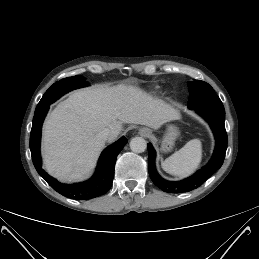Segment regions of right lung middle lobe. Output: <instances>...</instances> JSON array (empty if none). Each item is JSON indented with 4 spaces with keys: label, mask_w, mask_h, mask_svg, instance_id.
Listing matches in <instances>:
<instances>
[{
    "label": "right lung middle lobe",
    "mask_w": 259,
    "mask_h": 259,
    "mask_svg": "<svg viewBox=\"0 0 259 259\" xmlns=\"http://www.w3.org/2000/svg\"><path fill=\"white\" fill-rule=\"evenodd\" d=\"M88 86V83L83 79V77L76 75L73 77H68L54 83L43 95L42 99L38 103L36 110L42 107L48 106L59 99L65 93L78 89L81 87Z\"/></svg>",
    "instance_id": "1"
}]
</instances>
